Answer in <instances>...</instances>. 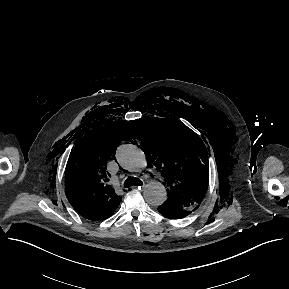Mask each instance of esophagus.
<instances>
[{
  "mask_svg": "<svg viewBox=\"0 0 289 289\" xmlns=\"http://www.w3.org/2000/svg\"><path fill=\"white\" fill-rule=\"evenodd\" d=\"M133 188H138L139 190L143 189L144 188V185H141V186H136V187H133Z\"/></svg>",
  "mask_w": 289,
  "mask_h": 289,
  "instance_id": "esophagus-1",
  "label": "esophagus"
}]
</instances>
